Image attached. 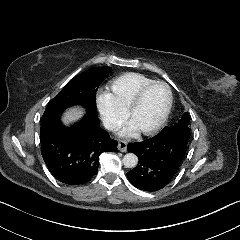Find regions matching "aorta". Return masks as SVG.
<instances>
[{
    "label": "aorta",
    "instance_id": "aorta-1",
    "mask_svg": "<svg viewBox=\"0 0 240 240\" xmlns=\"http://www.w3.org/2000/svg\"><path fill=\"white\" fill-rule=\"evenodd\" d=\"M123 164L126 168H134L138 164V157L134 153H127L123 157Z\"/></svg>",
    "mask_w": 240,
    "mask_h": 240
}]
</instances>
